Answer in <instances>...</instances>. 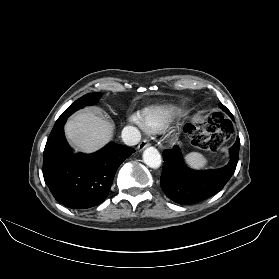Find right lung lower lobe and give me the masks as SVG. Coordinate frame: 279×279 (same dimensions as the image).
I'll return each instance as SVG.
<instances>
[{
	"instance_id": "1",
	"label": "right lung lower lobe",
	"mask_w": 279,
	"mask_h": 279,
	"mask_svg": "<svg viewBox=\"0 0 279 279\" xmlns=\"http://www.w3.org/2000/svg\"><path fill=\"white\" fill-rule=\"evenodd\" d=\"M67 118L59 117L47 140L44 180L55 199L64 206L90 208L106 199L118 167L135 150L110 142L93 154H72L64 135Z\"/></svg>"
}]
</instances>
